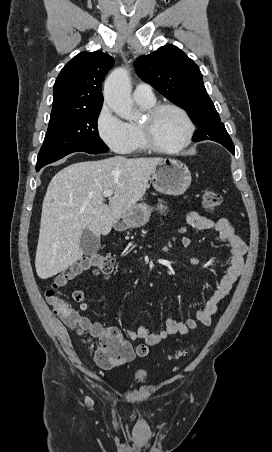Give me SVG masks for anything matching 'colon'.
<instances>
[{"mask_svg":"<svg viewBox=\"0 0 272 452\" xmlns=\"http://www.w3.org/2000/svg\"><path fill=\"white\" fill-rule=\"evenodd\" d=\"M201 198L203 208L209 212L215 211L222 204L221 195L212 188L204 189ZM114 266L115 258L111 254L93 253L84 256L55 277L53 283L45 292L48 304L57 315H70L72 309L59 295L58 289L88 270L94 271L99 276L108 277L113 273ZM135 351L141 355L147 352V349L144 346H139ZM186 354L187 350L180 349L171 356V359L178 360ZM130 357V347L122 339L105 335L99 337L95 361L101 367L114 368L122 366L129 361Z\"/></svg>","mask_w":272,"mask_h":452,"instance_id":"colon-1","label":"colon"}]
</instances>
